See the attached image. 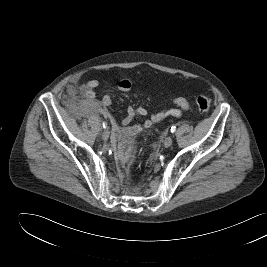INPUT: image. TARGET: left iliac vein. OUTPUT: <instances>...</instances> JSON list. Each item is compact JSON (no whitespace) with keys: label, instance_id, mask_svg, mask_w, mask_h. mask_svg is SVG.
I'll return each mask as SVG.
<instances>
[{"label":"left iliac vein","instance_id":"left-iliac-vein-1","mask_svg":"<svg viewBox=\"0 0 267 267\" xmlns=\"http://www.w3.org/2000/svg\"><path fill=\"white\" fill-rule=\"evenodd\" d=\"M172 142H173L172 137L171 136H167L165 138V140H164V146L166 148H168V147H170L172 145Z\"/></svg>","mask_w":267,"mask_h":267}]
</instances>
